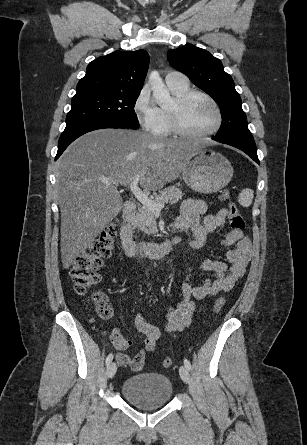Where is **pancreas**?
Instances as JSON below:
<instances>
[{"label":"pancreas","mask_w":307,"mask_h":445,"mask_svg":"<svg viewBox=\"0 0 307 445\" xmlns=\"http://www.w3.org/2000/svg\"><path fill=\"white\" fill-rule=\"evenodd\" d=\"M183 192L180 188H176V186H167L164 190H161L160 194H157L155 200L156 204H160V202H178L180 198H182ZM136 216H134V220L142 231L145 233H156L157 231V223L156 218L154 216L153 210H150L149 206H141L135 212Z\"/></svg>","instance_id":"obj_1"}]
</instances>
